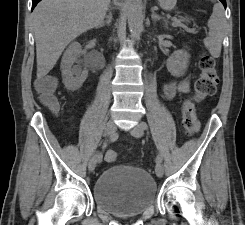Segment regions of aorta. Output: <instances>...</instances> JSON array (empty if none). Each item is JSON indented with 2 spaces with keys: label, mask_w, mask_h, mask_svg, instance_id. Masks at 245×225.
Returning <instances> with one entry per match:
<instances>
[{
  "label": "aorta",
  "mask_w": 245,
  "mask_h": 225,
  "mask_svg": "<svg viewBox=\"0 0 245 225\" xmlns=\"http://www.w3.org/2000/svg\"><path fill=\"white\" fill-rule=\"evenodd\" d=\"M127 17L131 37L135 40H139L143 31V11L141 0H130Z\"/></svg>",
  "instance_id": "1"
}]
</instances>
